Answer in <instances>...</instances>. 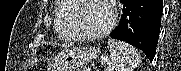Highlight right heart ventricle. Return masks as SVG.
I'll return each mask as SVG.
<instances>
[{"label":"right heart ventricle","mask_w":181,"mask_h":71,"mask_svg":"<svg viewBox=\"0 0 181 71\" xmlns=\"http://www.w3.org/2000/svg\"><path fill=\"white\" fill-rule=\"evenodd\" d=\"M73 5L70 2L59 0L56 6V32L64 39H76L70 26V15Z\"/></svg>","instance_id":"1"}]
</instances>
